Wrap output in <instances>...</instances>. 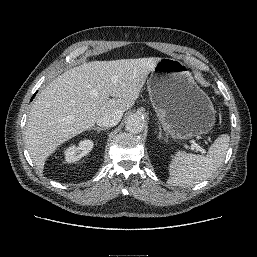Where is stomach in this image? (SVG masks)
Returning <instances> with one entry per match:
<instances>
[{
  "label": "stomach",
  "instance_id": "0dacf381",
  "mask_svg": "<svg viewBox=\"0 0 257 257\" xmlns=\"http://www.w3.org/2000/svg\"><path fill=\"white\" fill-rule=\"evenodd\" d=\"M148 91L160 123L177 139L207 134L213 128L214 106L182 61L160 58L151 71Z\"/></svg>",
  "mask_w": 257,
  "mask_h": 257
}]
</instances>
